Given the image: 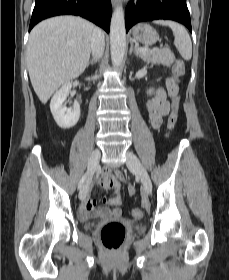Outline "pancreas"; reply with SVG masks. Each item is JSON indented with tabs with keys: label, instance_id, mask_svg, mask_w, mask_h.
<instances>
[{
	"label": "pancreas",
	"instance_id": "cf45deb5",
	"mask_svg": "<svg viewBox=\"0 0 229 280\" xmlns=\"http://www.w3.org/2000/svg\"><path fill=\"white\" fill-rule=\"evenodd\" d=\"M138 56L145 62H151L153 64H162L164 66H170L175 61V55L169 49H155L153 51L140 53Z\"/></svg>",
	"mask_w": 229,
	"mask_h": 280
}]
</instances>
